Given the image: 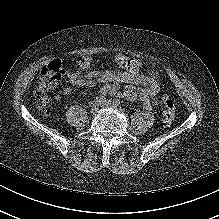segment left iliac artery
Returning a JSON list of instances; mask_svg holds the SVG:
<instances>
[{
    "mask_svg": "<svg viewBox=\"0 0 219 219\" xmlns=\"http://www.w3.org/2000/svg\"><path fill=\"white\" fill-rule=\"evenodd\" d=\"M120 100L119 99H113V104L115 105V106H119L120 105Z\"/></svg>",
    "mask_w": 219,
    "mask_h": 219,
    "instance_id": "1",
    "label": "left iliac artery"
}]
</instances>
